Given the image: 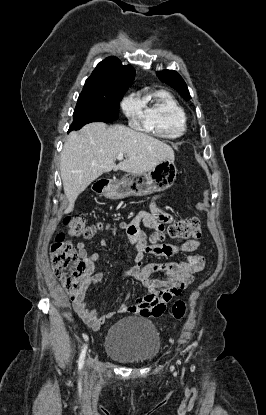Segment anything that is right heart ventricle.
Returning a JSON list of instances; mask_svg holds the SVG:
<instances>
[{"mask_svg": "<svg viewBox=\"0 0 266 415\" xmlns=\"http://www.w3.org/2000/svg\"><path fill=\"white\" fill-rule=\"evenodd\" d=\"M144 128L165 138H177L187 128L183 107L167 91L148 93L139 99Z\"/></svg>", "mask_w": 266, "mask_h": 415, "instance_id": "right-heart-ventricle-1", "label": "right heart ventricle"}]
</instances>
